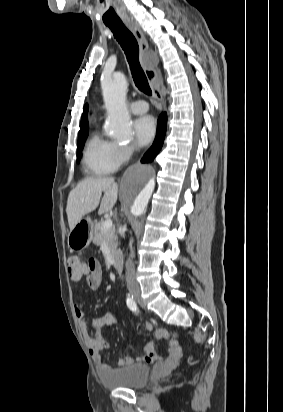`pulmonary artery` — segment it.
<instances>
[{
    "mask_svg": "<svg viewBox=\"0 0 283 412\" xmlns=\"http://www.w3.org/2000/svg\"><path fill=\"white\" fill-rule=\"evenodd\" d=\"M147 110H148V104L144 100L134 101L130 105V111L133 114H143V113L147 112Z\"/></svg>",
    "mask_w": 283,
    "mask_h": 412,
    "instance_id": "obj_1",
    "label": "pulmonary artery"
}]
</instances>
